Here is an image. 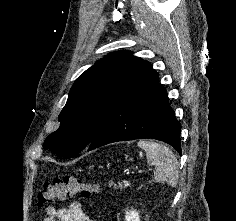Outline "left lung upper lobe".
Here are the masks:
<instances>
[{"label": "left lung upper lobe", "instance_id": "obj_1", "mask_svg": "<svg viewBox=\"0 0 236 221\" xmlns=\"http://www.w3.org/2000/svg\"><path fill=\"white\" fill-rule=\"evenodd\" d=\"M154 71L151 64L128 51L107 55L73 84L59 115L60 127L44 147L72 158L88 147L110 113Z\"/></svg>", "mask_w": 236, "mask_h": 221}]
</instances>
